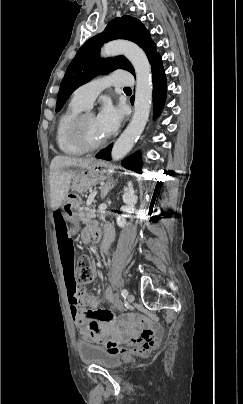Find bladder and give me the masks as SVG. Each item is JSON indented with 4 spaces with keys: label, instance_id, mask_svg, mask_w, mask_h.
Here are the masks:
<instances>
[{
    "label": "bladder",
    "instance_id": "31cf9c89",
    "mask_svg": "<svg viewBox=\"0 0 243 404\" xmlns=\"http://www.w3.org/2000/svg\"><path fill=\"white\" fill-rule=\"evenodd\" d=\"M77 353L80 360L86 365H96L105 369H117L122 365L118 354L99 345L85 342L79 343Z\"/></svg>",
    "mask_w": 243,
    "mask_h": 404
}]
</instances>
